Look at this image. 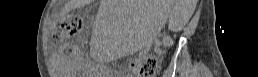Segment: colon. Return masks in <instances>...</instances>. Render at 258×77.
Returning a JSON list of instances; mask_svg holds the SVG:
<instances>
[{"instance_id": "5ec220e1", "label": "colon", "mask_w": 258, "mask_h": 77, "mask_svg": "<svg viewBox=\"0 0 258 77\" xmlns=\"http://www.w3.org/2000/svg\"><path fill=\"white\" fill-rule=\"evenodd\" d=\"M82 28V20L76 15H67L62 21L58 22L53 34L55 38L72 36ZM158 69L157 59L153 56L139 57L133 60L131 65L132 73L136 77H153Z\"/></svg>"}]
</instances>
